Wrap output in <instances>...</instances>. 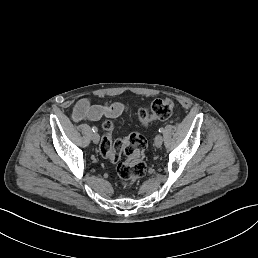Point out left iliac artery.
<instances>
[{"label": "left iliac artery", "instance_id": "44dca946", "mask_svg": "<svg viewBox=\"0 0 258 258\" xmlns=\"http://www.w3.org/2000/svg\"><path fill=\"white\" fill-rule=\"evenodd\" d=\"M158 131H159V133H162L164 131V128L160 127Z\"/></svg>", "mask_w": 258, "mask_h": 258}]
</instances>
